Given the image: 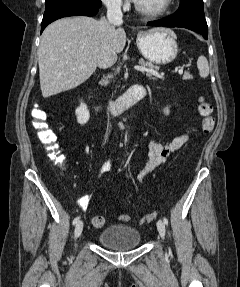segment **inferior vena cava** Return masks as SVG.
Masks as SVG:
<instances>
[{"mask_svg": "<svg viewBox=\"0 0 240 287\" xmlns=\"http://www.w3.org/2000/svg\"><path fill=\"white\" fill-rule=\"evenodd\" d=\"M107 19L110 24L122 23V11L120 0H107Z\"/></svg>", "mask_w": 240, "mask_h": 287, "instance_id": "inferior-vena-cava-1", "label": "inferior vena cava"}]
</instances>
